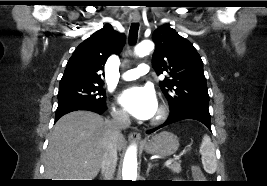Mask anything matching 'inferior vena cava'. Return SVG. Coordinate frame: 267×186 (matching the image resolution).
<instances>
[{"instance_id":"inferior-vena-cava-1","label":"inferior vena cava","mask_w":267,"mask_h":186,"mask_svg":"<svg viewBox=\"0 0 267 186\" xmlns=\"http://www.w3.org/2000/svg\"><path fill=\"white\" fill-rule=\"evenodd\" d=\"M129 115L122 111L112 114V120L108 121V134L105 151L101 162V174L103 180H112L117 165V144L122 137V131L130 126Z\"/></svg>"}]
</instances>
